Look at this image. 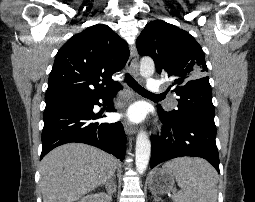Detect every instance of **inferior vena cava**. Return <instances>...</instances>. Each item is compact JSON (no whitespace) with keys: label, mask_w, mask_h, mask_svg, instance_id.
<instances>
[{"label":"inferior vena cava","mask_w":255,"mask_h":202,"mask_svg":"<svg viewBox=\"0 0 255 202\" xmlns=\"http://www.w3.org/2000/svg\"><path fill=\"white\" fill-rule=\"evenodd\" d=\"M106 184H107V187H108L109 190L113 189V186L110 184V182H107Z\"/></svg>","instance_id":"1"}]
</instances>
